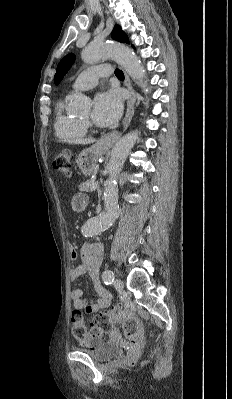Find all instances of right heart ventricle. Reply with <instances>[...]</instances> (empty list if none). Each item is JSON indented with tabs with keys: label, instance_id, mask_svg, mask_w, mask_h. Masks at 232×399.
Instances as JSON below:
<instances>
[{
	"label": "right heart ventricle",
	"instance_id": "e07e8e85",
	"mask_svg": "<svg viewBox=\"0 0 232 399\" xmlns=\"http://www.w3.org/2000/svg\"><path fill=\"white\" fill-rule=\"evenodd\" d=\"M53 131L56 138L66 143H79L87 135L81 119L69 115L61 103L55 107Z\"/></svg>",
	"mask_w": 232,
	"mask_h": 399
}]
</instances>
